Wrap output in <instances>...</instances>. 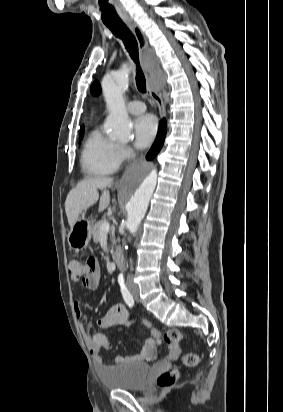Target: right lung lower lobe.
Here are the masks:
<instances>
[{
  "label": "right lung lower lobe",
  "instance_id": "obj_1",
  "mask_svg": "<svg viewBox=\"0 0 283 412\" xmlns=\"http://www.w3.org/2000/svg\"><path fill=\"white\" fill-rule=\"evenodd\" d=\"M166 132H167V124H166V120L163 119L160 122L157 138H156L153 146L151 147L150 151L148 152V154L146 156L147 160L154 159L156 157V155L159 153V151L161 150V148L163 146L164 139H165V136H166Z\"/></svg>",
  "mask_w": 283,
  "mask_h": 412
}]
</instances>
